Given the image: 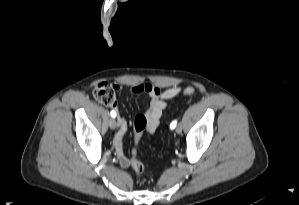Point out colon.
<instances>
[{"mask_svg": "<svg viewBox=\"0 0 299 205\" xmlns=\"http://www.w3.org/2000/svg\"><path fill=\"white\" fill-rule=\"evenodd\" d=\"M183 94L192 96L195 94V90L192 87H186L183 90ZM94 98L101 104L107 107H114L116 105L115 87L108 82H98L93 88ZM147 125V119L144 115H138L134 119L133 127L135 133L134 148L132 151L131 167L133 172L137 176H141L144 173V165L137 158V145L141 134L145 130Z\"/></svg>", "mask_w": 299, "mask_h": 205, "instance_id": "colon-1", "label": "colon"}]
</instances>
